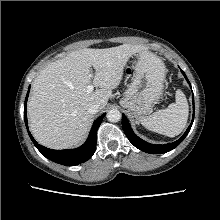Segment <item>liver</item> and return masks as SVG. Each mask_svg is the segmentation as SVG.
I'll use <instances>...</instances> for the list:
<instances>
[{
	"label": "liver",
	"mask_w": 220,
	"mask_h": 220,
	"mask_svg": "<svg viewBox=\"0 0 220 220\" xmlns=\"http://www.w3.org/2000/svg\"><path fill=\"white\" fill-rule=\"evenodd\" d=\"M144 49L134 44L83 48L47 65L35 78L27 105L35 139L53 149L79 143L93 120L88 108L94 103L100 105V110L105 108L112 90L120 84L127 61ZM90 84L97 89L88 93Z\"/></svg>",
	"instance_id": "obj_1"
}]
</instances>
